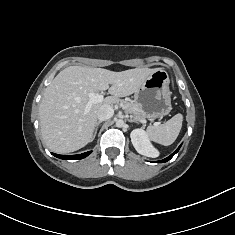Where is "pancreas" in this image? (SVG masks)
Returning a JSON list of instances; mask_svg holds the SVG:
<instances>
[{"instance_id": "cf45deb5", "label": "pancreas", "mask_w": 235, "mask_h": 235, "mask_svg": "<svg viewBox=\"0 0 235 235\" xmlns=\"http://www.w3.org/2000/svg\"><path fill=\"white\" fill-rule=\"evenodd\" d=\"M123 109L125 113L130 114L134 121H142L147 116L146 114L134 103L123 101Z\"/></svg>"}]
</instances>
